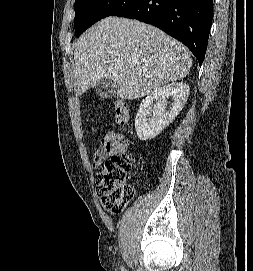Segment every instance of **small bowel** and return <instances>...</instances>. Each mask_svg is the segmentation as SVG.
<instances>
[{
    "label": "small bowel",
    "mask_w": 253,
    "mask_h": 271,
    "mask_svg": "<svg viewBox=\"0 0 253 271\" xmlns=\"http://www.w3.org/2000/svg\"><path fill=\"white\" fill-rule=\"evenodd\" d=\"M124 135L120 132L112 131L100 138L99 146L93 156V166L96 168L101 161L112 154H118L127 151L122 143Z\"/></svg>",
    "instance_id": "small-bowel-1"
}]
</instances>
